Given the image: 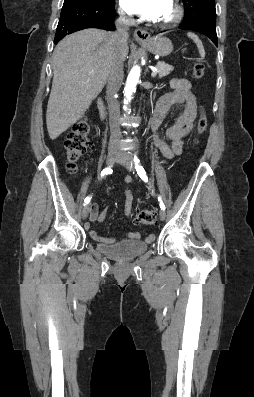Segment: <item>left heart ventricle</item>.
Returning <instances> with one entry per match:
<instances>
[{"mask_svg": "<svg viewBox=\"0 0 254 397\" xmlns=\"http://www.w3.org/2000/svg\"><path fill=\"white\" fill-rule=\"evenodd\" d=\"M173 12V5L171 2H169L164 12L156 19L157 22H164L169 20L173 16Z\"/></svg>", "mask_w": 254, "mask_h": 397, "instance_id": "1", "label": "left heart ventricle"}]
</instances>
